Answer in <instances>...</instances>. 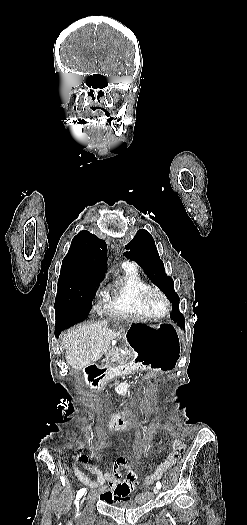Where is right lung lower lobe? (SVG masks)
I'll list each match as a JSON object with an SVG mask.
<instances>
[{
    "label": "right lung lower lobe",
    "instance_id": "98d812e1",
    "mask_svg": "<svg viewBox=\"0 0 247 525\" xmlns=\"http://www.w3.org/2000/svg\"><path fill=\"white\" fill-rule=\"evenodd\" d=\"M68 328L67 326H55V336L57 337L62 330Z\"/></svg>",
    "mask_w": 247,
    "mask_h": 525
}]
</instances>
